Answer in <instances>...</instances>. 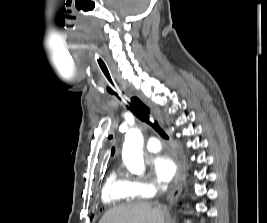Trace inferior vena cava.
I'll list each match as a JSON object with an SVG mask.
<instances>
[{
	"instance_id": "inferior-vena-cava-1",
	"label": "inferior vena cava",
	"mask_w": 267,
	"mask_h": 223,
	"mask_svg": "<svg viewBox=\"0 0 267 223\" xmlns=\"http://www.w3.org/2000/svg\"><path fill=\"white\" fill-rule=\"evenodd\" d=\"M159 188L161 191H164L166 189V185H160Z\"/></svg>"
}]
</instances>
